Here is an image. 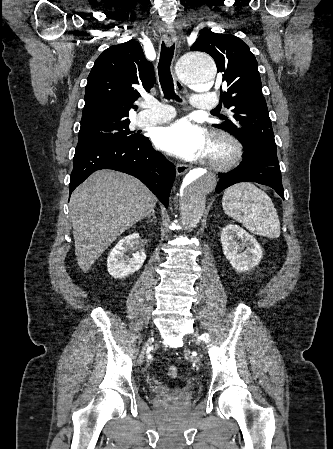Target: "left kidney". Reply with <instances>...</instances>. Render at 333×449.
I'll list each match as a JSON object with an SVG mask.
<instances>
[{
    "mask_svg": "<svg viewBox=\"0 0 333 449\" xmlns=\"http://www.w3.org/2000/svg\"><path fill=\"white\" fill-rule=\"evenodd\" d=\"M223 253L234 269L245 272L259 264L262 250L256 239L235 224L221 231Z\"/></svg>",
    "mask_w": 333,
    "mask_h": 449,
    "instance_id": "1",
    "label": "left kidney"
}]
</instances>
